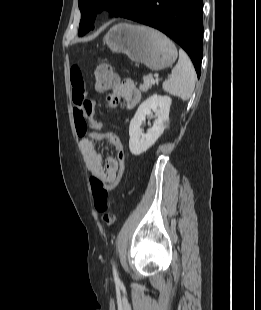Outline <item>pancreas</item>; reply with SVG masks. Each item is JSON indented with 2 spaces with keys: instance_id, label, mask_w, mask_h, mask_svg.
I'll return each instance as SVG.
<instances>
[{
  "instance_id": "1",
  "label": "pancreas",
  "mask_w": 261,
  "mask_h": 310,
  "mask_svg": "<svg viewBox=\"0 0 261 310\" xmlns=\"http://www.w3.org/2000/svg\"><path fill=\"white\" fill-rule=\"evenodd\" d=\"M154 84V79L152 75H146L143 77V84L140 85V90L142 92H147Z\"/></svg>"
}]
</instances>
